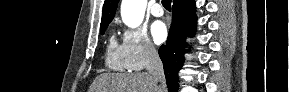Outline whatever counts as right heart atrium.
<instances>
[{
	"label": "right heart atrium",
	"instance_id": "obj_1",
	"mask_svg": "<svg viewBox=\"0 0 289 92\" xmlns=\"http://www.w3.org/2000/svg\"><path fill=\"white\" fill-rule=\"evenodd\" d=\"M122 54L126 68L139 71L158 57V52L142 27L126 28L122 35Z\"/></svg>",
	"mask_w": 289,
	"mask_h": 92
}]
</instances>
